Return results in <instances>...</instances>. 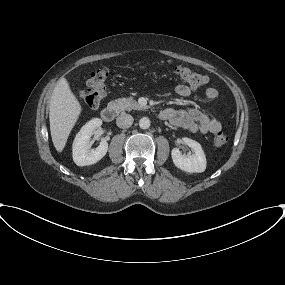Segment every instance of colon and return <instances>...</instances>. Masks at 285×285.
Listing matches in <instances>:
<instances>
[{"label": "colon", "instance_id": "colon-1", "mask_svg": "<svg viewBox=\"0 0 285 285\" xmlns=\"http://www.w3.org/2000/svg\"><path fill=\"white\" fill-rule=\"evenodd\" d=\"M175 76L184 83H187L193 88H199L206 85L209 81L204 74L197 73L191 69L177 65L173 68ZM109 72L105 68H99L90 73L86 87L79 91V97L90 107L97 108L103 100L106 93V81ZM228 138L223 133L219 132L213 140L216 147L225 145Z\"/></svg>", "mask_w": 285, "mask_h": 285}]
</instances>
